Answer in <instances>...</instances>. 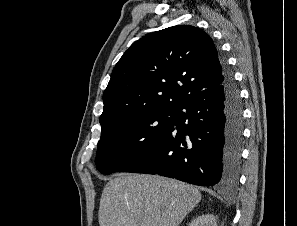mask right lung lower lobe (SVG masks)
I'll use <instances>...</instances> for the list:
<instances>
[{
    "label": "right lung lower lobe",
    "instance_id": "right-lung-lower-lobe-1",
    "mask_svg": "<svg viewBox=\"0 0 297 226\" xmlns=\"http://www.w3.org/2000/svg\"><path fill=\"white\" fill-rule=\"evenodd\" d=\"M223 82L188 98L173 126L121 172L149 173L199 186H235L240 172L243 105L227 63Z\"/></svg>",
    "mask_w": 297,
    "mask_h": 226
}]
</instances>
